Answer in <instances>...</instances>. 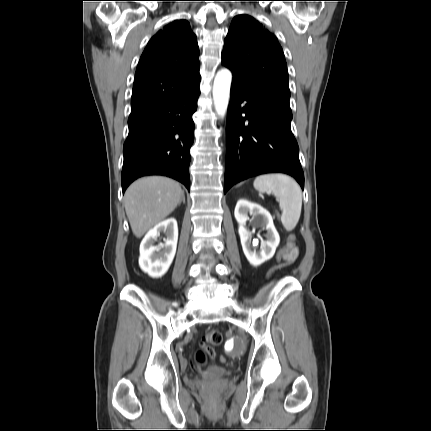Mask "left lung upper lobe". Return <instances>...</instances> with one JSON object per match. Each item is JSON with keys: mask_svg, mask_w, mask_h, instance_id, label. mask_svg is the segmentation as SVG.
I'll return each instance as SVG.
<instances>
[{"mask_svg": "<svg viewBox=\"0 0 431 431\" xmlns=\"http://www.w3.org/2000/svg\"><path fill=\"white\" fill-rule=\"evenodd\" d=\"M222 64L233 73L232 84L250 96L291 111L285 57L277 38L247 15L236 16L222 53Z\"/></svg>", "mask_w": 431, "mask_h": 431, "instance_id": "left-lung-upper-lobe-1", "label": "left lung upper lobe"}]
</instances>
